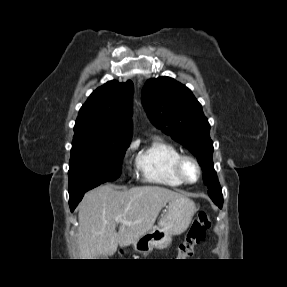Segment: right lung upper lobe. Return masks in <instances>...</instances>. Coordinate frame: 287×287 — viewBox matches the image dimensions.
Returning <instances> with one entry per match:
<instances>
[{
  "label": "right lung upper lobe",
  "mask_w": 287,
  "mask_h": 287,
  "mask_svg": "<svg viewBox=\"0 0 287 287\" xmlns=\"http://www.w3.org/2000/svg\"><path fill=\"white\" fill-rule=\"evenodd\" d=\"M133 83L116 80L98 87L81 107L74 132L98 138L131 139Z\"/></svg>",
  "instance_id": "right-lung-upper-lobe-1"
}]
</instances>
